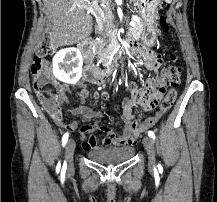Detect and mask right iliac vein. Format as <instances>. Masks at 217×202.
<instances>
[{"label": "right iliac vein", "instance_id": "right-iliac-vein-1", "mask_svg": "<svg viewBox=\"0 0 217 202\" xmlns=\"http://www.w3.org/2000/svg\"><path fill=\"white\" fill-rule=\"evenodd\" d=\"M75 150V142L73 140H69L65 147V158L67 168L71 169L73 167V155Z\"/></svg>", "mask_w": 217, "mask_h": 202}]
</instances>
